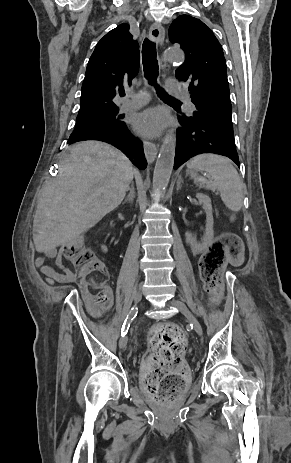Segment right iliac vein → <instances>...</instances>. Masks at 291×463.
Wrapping results in <instances>:
<instances>
[{
    "label": "right iliac vein",
    "instance_id": "right-iliac-vein-1",
    "mask_svg": "<svg viewBox=\"0 0 291 463\" xmlns=\"http://www.w3.org/2000/svg\"><path fill=\"white\" fill-rule=\"evenodd\" d=\"M141 300V291H140V287L139 286H136L135 287V294H134V303L137 304L139 303ZM127 342H128V338L127 336H123L120 338V341H119V346L121 349H125L126 346H127Z\"/></svg>",
    "mask_w": 291,
    "mask_h": 463
}]
</instances>
